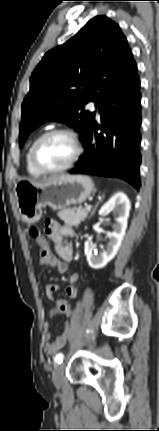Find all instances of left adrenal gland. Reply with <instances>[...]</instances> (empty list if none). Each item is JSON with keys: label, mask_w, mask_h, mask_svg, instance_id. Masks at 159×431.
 I'll list each match as a JSON object with an SVG mask.
<instances>
[{"label": "left adrenal gland", "mask_w": 159, "mask_h": 431, "mask_svg": "<svg viewBox=\"0 0 159 431\" xmlns=\"http://www.w3.org/2000/svg\"><path fill=\"white\" fill-rule=\"evenodd\" d=\"M95 210H96V206L93 208L91 215L94 214Z\"/></svg>", "instance_id": "a2214340"}]
</instances>
